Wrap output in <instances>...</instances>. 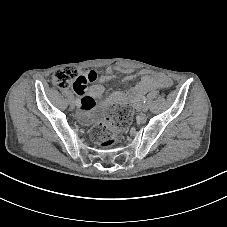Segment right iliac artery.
I'll list each match as a JSON object with an SVG mask.
<instances>
[{"instance_id": "right-iliac-artery-1", "label": "right iliac artery", "mask_w": 227, "mask_h": 227, "mask_svg": "<svg viewBox=\"0 0 227 227\" xmlns=\"http://www.w3.org/2000/svg\"><path fill=\"white\" fill-rule=\"evenodd\" d=\"M76 105H77L78 107H80V106H81V101H80V99H79V98H77V99H76Z\"/></svg>"}]
</instances>
